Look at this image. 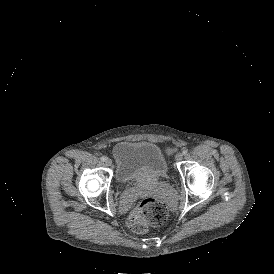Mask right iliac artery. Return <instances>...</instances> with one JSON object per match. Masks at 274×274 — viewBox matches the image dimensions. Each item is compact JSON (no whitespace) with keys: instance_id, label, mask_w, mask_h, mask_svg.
Wrapping results in <instances>:
<instances>
[{"instance_id":"obj_1","label":"right iliac artery","mask_w":274,"mask_h":274,"mask_svg":"<svg viewBox=\"0 0 274 274\" xmlns=\"http://www.w3.org/2000/svg\"><path fill=\"white\" fill-rule=\"evenodd\" d=\"M101 160H102L103 162H105V161L107 160V158H106L105 156H102V157H101Z\"/></svg>"}]
</instances>
